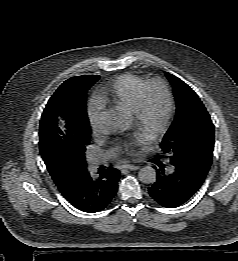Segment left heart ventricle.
I'll return each mask as SVG.
<instances>
[{"label":"left heart ventricle","mask_w":238,"mask_h":261,"mask_svg":"<svg viewBox=\"0 0 238 261\" xmlns=\"http://www.w3.org/2000/svg\"><path fill=\"white\" fill-rule=\"evenodd\" d=\"M166 109V99L162 89L153 87L147 97L146 118L141 131L151 133L162 120Z\"/></svg>","instance_id":"1"}]
</instances>
